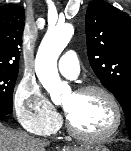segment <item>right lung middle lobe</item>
Listing matches in <instances>:
<instances>
[{
  "instance_id": "1",
  "label": "right lung middle lobe",
  "mask_w": 131,
  "mask_h": 151,
  "mask_svg": "<svg viewBox=\"0 0 131 151\" xmlns=\"http://www.w3.org/2000/svg\"><path fill=\"white\" fill-rule=\"evenodd\" d=\"M18 69H0V112L12 113L13 90Z\"/></svg>"
}]
</instances>
